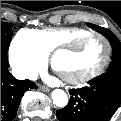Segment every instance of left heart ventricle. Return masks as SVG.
I'll return each instance as SVG.
<instances>
[{
	"mask_svg": "<svg viewBox=\"0 0 121 121\" xmlns=\"http://www.w3.org/2000/svg\"><path fill=\"white\" fill-rule=\"evenodd\" d=\"M104 57V42L99 38H92L83 43L74 53L59 54L55 60V66L62 75L85 74L97 69Z\"/></svg>",
	"mask_w": 121,
	"mask_h": 121,
	"instance_id": "b2bd125f",
	"label": "left heart ventricle"
}]
</instances>
